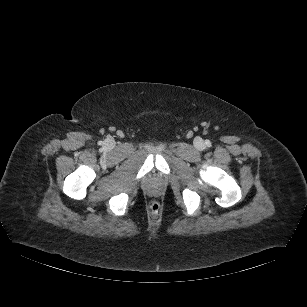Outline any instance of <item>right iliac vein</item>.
I'll return each instance as SVG.
<instances>
[{"label":"right iliac vein","mask_w":307,"mask_h":307,"mask_svg":"<svg viewBox=\"0 0 307 307\" xmlns=\"http://www.w3.org/2000/svg\"><path fill=\"white\" fill-rule=\"evenodd\" d=\"M114 144V142L112 141V140H110V141H108V145H113Z\"/></svg>","instance_id":"right-iliac-vein-1"}]
</instances>
